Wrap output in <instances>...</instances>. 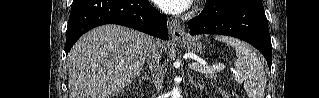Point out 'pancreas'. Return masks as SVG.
<instances>
[{"mask_svg":"<svg viewBox=\"0 0 319 98\" xmlns=\"http://www.w3.org/2000/svg\"><path fill=\"white\" fill-rule=\"evenodd\" d=\"M203 73H204V75H205L207 78H209V79H211V80H214V79L216 78V71L206 70V71H204Z\"/></svg>","mask_w":319,"mask_h":98,"instance_id":"1","label":"pancreas"}]
</instances>
